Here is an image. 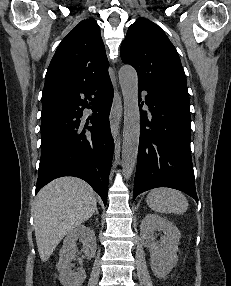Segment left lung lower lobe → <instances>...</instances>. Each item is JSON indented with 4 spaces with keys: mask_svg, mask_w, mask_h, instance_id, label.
I'll use <instances>...</instances> for the list:
<instances>
[{
    "mask_svg": "<svg viewBox=\"0 0 231 286\" xmlns=\"http://www.w3.org/2000/svg\"><path fill=\"white\" fill-rule=\"evenodd\" d=\"M138 89L139 94L142 90L148 92L145 103L152 118L147 117L146 111H140L133 200L149 189L170 187L185 192L198 202L190 153L189 97L142 84H138Z\"/></svg>",
    "mask_w": 231,
    "mask_h": 286,
    "instance_id": "0a47b994",
    "label": "left lung lower lobe"
}]
</instances>
